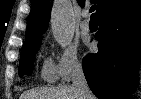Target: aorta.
Here are the masks:
<instances>
[{"label":"aorta","instance_id":"762f6f07","mask_svg":"<svg viewBox=\"0 0 141 99\" xmlns=\"http://www.w3.org/2000/svg\"><path fill=\"white\" fill-rule=\"evenodd\" d=\"M51 29L56 42L68 45L74 36L72 5L67 0H56L51 12Z\"/></svg>","mask_w":141,"mask_h":99}]
</instances>
